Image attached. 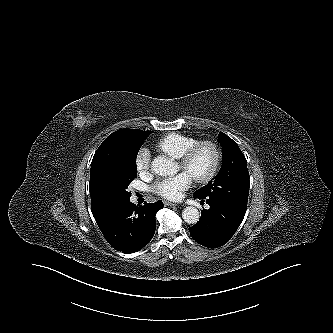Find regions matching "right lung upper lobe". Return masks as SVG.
<instances>
[{"label": "right lung upper lobe", "instance_id": "right-lung-upper-lobe-1", "mask_svg": "<svg viewBox=\"0 0 333 333\" xmlns=\"http://www.w3.org/2000/svg\"><path fill=\"white\" fill-rule=\"evenodd\" d=\"M151 131L137 129H120L109 135L96 150L91 164L89 191L91 194V210L95 220H99L105 212L115 204L104 187V170L111 157L127 144L147 137Z\"/></svg>", "mask_w": 333, "mask_h": 333}]
</instances>
